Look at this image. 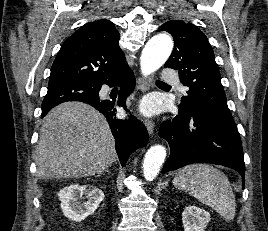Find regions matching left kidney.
<instances>
[{
	"mask_svg": "<svg viewBox=\"0 0 268 231\" xmlns=\"http://www.w3.org/2000/svg\"><path fill=\"white\" fill-rule=\"evenodd\" d=\"M210 220V213L197 206H188L182 213L184 231H204Z\"/></svg>",
	"mask_w": 268,
	"mask_h": 231,
	"instance_id": "obj_1",
	"label": "left kidney"
}]
</instances>
